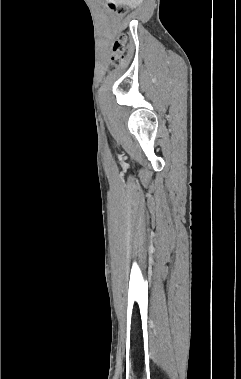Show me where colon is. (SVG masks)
<instances>
[{"mask_svg":"<svg viewBox=\"0 0 241 379\" xmlns=\"http://www.w3.org/2000/svg\"><path fill=\"white\" fill-rule=\"evenodd\" d=\"M111 8L116 9L114 4L111 5ZM127 41L128 38L126 35H120L115 40L112 48L111 59L109 62L110 69L115 70L125 63Z\"/></svg>","mask_w":241,"mask_h":379,"instance_id":"colon-1","label":"colon"}]
</instances>
